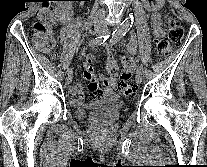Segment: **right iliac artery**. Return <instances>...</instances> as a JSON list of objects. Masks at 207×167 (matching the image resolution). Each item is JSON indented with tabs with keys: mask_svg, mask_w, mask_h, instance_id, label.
<instances>
[{
	"mask_svg": "<svg viewBox=\"0 0 207 167\" xmlns=\"http://www.w3.org/2000/svg\"><path fill=\"white\" fill-rule=\"evenodd\" d=\"M113 33H114V31H113ZM113 33L112 34H104V35H101V36H98V37L94 38L93 40H91L89 42V46L92 47V48H94V47H97L99 45H102L104 42H106V40L111 35H113ZM70 72H72V70L70 68H68L67 69V73H70Z\"/></svg>",
	"mask_w": 207,
	"mask_h": 167,
	"instance_id": "obj_1",
	"label": "right iliac artery"
}]
</instances>
